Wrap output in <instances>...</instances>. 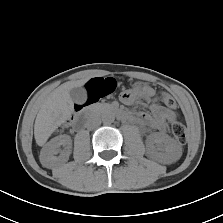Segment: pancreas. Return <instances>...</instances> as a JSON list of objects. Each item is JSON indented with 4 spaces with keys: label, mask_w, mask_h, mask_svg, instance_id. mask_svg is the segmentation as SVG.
<instances>
[{
    "label": "pancreas",
    "mask_w": 223,
    "mask_h": 223,
    "mask_svg": "<svg viewBox=\"0 0 223 223\" xmlns=\"http://www.w3.org/2000/svg\"><path fill=\"white\" fill-rule=\"evenodd\" d=\"M102 107V105L100 104V105H98V107L97 108H101Z\"/></svg>",
    "instance_id": "pancreas-1"
}]
</instances>
